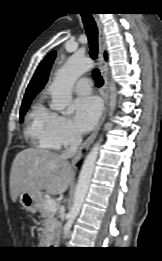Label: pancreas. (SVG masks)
<instances>
[{
    "mask_svg": "<svg viewBox=\"0 0 162 261\" xmlns=\"http://www.w3.org/2000/svg\"><path fill=\"white\" fill-rule=\"evenodd\" d=\"M47 198H41L39 205V212L44 219L43 221V231L41 235V243L43 245H48L51 243L56 231L59 228V222L55 217L56 211H49L46 209Z\"/></svg>",
    "mask_w": 162,
    "mask_h": 261,
    "instance_id": "obj_1",
    "label": "pancreas"
}]
</instances>
